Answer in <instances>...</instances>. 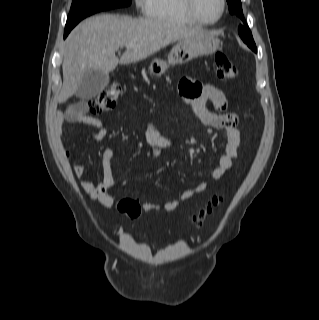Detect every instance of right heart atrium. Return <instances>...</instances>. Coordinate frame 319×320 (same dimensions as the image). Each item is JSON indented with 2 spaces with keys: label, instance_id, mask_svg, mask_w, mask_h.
<instances>
[{
  "label": "right heart atrium",
  "instance_id": "d8ad5b80",
  "mask_svg": "<svg viewBox=\"0 0 319 320\" xmlns=\"http://www.w3.org/2000/svg\"><path fill=\"white\" fill-rule=\"evenodd\" d=\"M135 1V5L138 9L144 8L147 4L148 0H134Z\"/></svg>",
  "mask_w": 319,
  "mask_h": 320
}]
</instances>
